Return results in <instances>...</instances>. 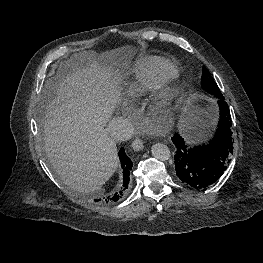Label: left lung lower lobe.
<instances>
[{
  "label": "left lung lower lobe",
  "mask_w": 263,
  "mask_h": 263,
  "mask_svg": "<svg viewBox=\"0 0 263 263\" xmlns=\"http://www.w3.org/2000/svg\"><path fill=\"white\" fill-rule=\"evenodd\" d=\"M217 98L220 118L212 139L206 144L191 145L185 134L175 133L172 137L176 175L183 183L196 189L216 183L227 169L233 152L229 106L223 95Z\"/></svg>",
  "instance_id": "obj_1"
}]
</instances>
